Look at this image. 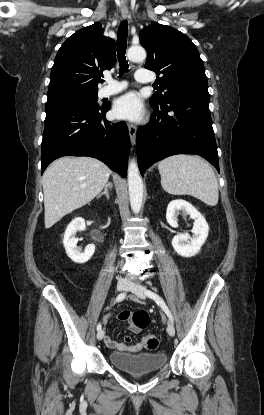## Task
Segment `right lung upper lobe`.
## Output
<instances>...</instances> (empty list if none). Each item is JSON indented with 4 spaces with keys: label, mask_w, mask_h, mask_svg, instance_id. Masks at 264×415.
<instances>
[{
    "label": "right lung upper lobe",
    "mask_w": 264,
    "mask_h": 415,
    "mask_svg": "<svg viewBox=\"0 0 264 415\" xmlns=\"http://www.w3.org/2000/svg\"><path fill=\"white\" fill-rule=\"evenodd\" d=\"M115 60V42L103 35L100 23L78 30L56 55L48 99L70 93H97L103 70L111 69Z\"/></svg>",
    "instance_id": "cb5924a9"
}]
</instances>
